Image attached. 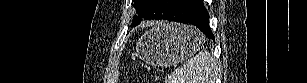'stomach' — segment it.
I'll return each mask as SVG.
<instances>
[{"instance_id":"stomach-1","label":"stomach","mask_w":307,"mask_h":83,"mask_svg":"<svg viewBox=\"0 0 307 83\" xmlns=\"http://www.w3.org/2000/svg\"><path fill=\"white\" fill-rule=\"evenodd\" d=\"M205 43L195 28L178 23L155 26L146 32L136 46L140 59L156 66H170L194 55Z\"/></svg>"}]
</instances>
